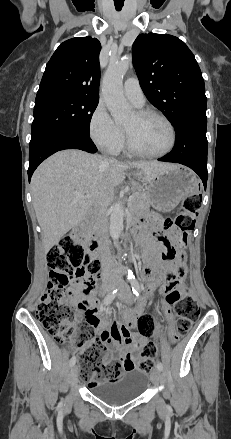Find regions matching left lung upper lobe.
<instances>
[{
    "label": "left lung upper lobe",
    "instance_id": "1",
    "mask_svg": "<svg viewBox=\"0 0 231 439\" xmlns=\"http://www.w3.org/2000/svg\"><path fill=\"white\" fill-rule=\"evenodd\" d=\"M132 56L147 99L175 131L190 118L206 116L204 79L183 41L168 34H141L132 45Z\"/></svg>",
    "mask_w": 231,
    "mask_h": 439
}]
</instances>
